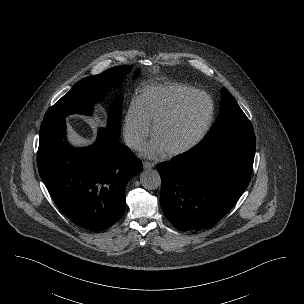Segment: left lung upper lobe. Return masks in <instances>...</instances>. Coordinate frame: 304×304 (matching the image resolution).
Here are the masks:
<instances>
[{"label": "left lung upper lobe", "mask_w": 304, "mask_h": 304, "mask_svg": "<svg viewBox=\"0 0 304 304\" xmlns=\"http://www.w3.org/2000/svg\"><path fill=\"white\" fill-rule=\"evenodd\" d=\"M219 117L202 143L233 133H254L247 116L226 88L222 89Z\"/></svg>", "instance_id": "obj_1"}]
</instances>
